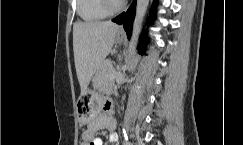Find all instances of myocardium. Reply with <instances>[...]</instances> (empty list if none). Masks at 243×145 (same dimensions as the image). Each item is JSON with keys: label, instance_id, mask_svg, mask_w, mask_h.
<instances>
[{"label": "myocardium", "instance_id": "1", "mask_svg": "<svg viewBox=\"0 0 243 145\" xmlns=\"http://www.w3.org/2000/svg\"><path fill=\"white\" fill-rule=\"evenodd\" d=\"M102 8L108 13L113 14L120 11L124 7V0L118 3L113 2V0H100Z\"/></svg>", "mask_w": 243, "mask_h": 145}]
</instances>
